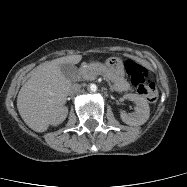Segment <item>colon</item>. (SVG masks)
Masks as SVG:
<instances>
[{
    "label": "colon",
    "instance_id": "obj_1",
    "mask_svg": "<svg viewBox=\"0 0 187 187\" xmlns=\"http://www.w3.org/2000/svg\"><path fill=\"white\" fill-rule=\"evenodd\" d=\"M125 69L137 92L149 102H155L157 89L155 84L148 78L147 69L141 63L132 59L126 61Z\"/></svg>",
    "mask_w": 187,
    "mask_h": 187
}]
</instances>
